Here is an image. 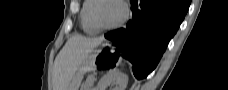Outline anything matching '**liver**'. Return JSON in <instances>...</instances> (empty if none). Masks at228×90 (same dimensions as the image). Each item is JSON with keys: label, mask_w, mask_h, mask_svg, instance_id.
Returning <instances> with one entry per match:
<instances>
[{"label": "liver", "mask_w": 228, "mask_h": 90, "mask_svg": "<svg viewBox=\"0 0 228 90\" xmlns=\"http://www.w3.org/2000/svg\"><path fill=\"white\" fill-rule=\"evenodd\" d=\"M104 38L73 35L57 55L53 67V90H67L75 73Z\"/></svg>", "instance_id": "6515ba94"}]
</instances>
